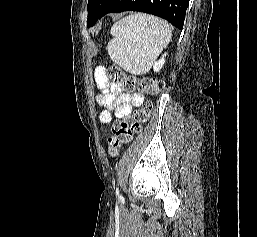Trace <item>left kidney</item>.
I'll return each mask as SVG.
<instances>
[{
    "label": "left kidney",
    "mask_w": 257,
    "mask_h": 237,
    "mask_svg": "<svg viewBox=\"0 0 257 237\" xmlns=\"http://www.w3.org/2000/svg\"><path fill=\"white\" fill-rule=\"evenodd\" d=\"M165 56H166V54H164V55L161 57V59H159L158 62H156V63L154 64L153 70H154L155 72L160 71V69L163 67V65H164V63H165V59H164Z\"/></svg>",
    "instance_id": "obj_1"
}]
</instances>
